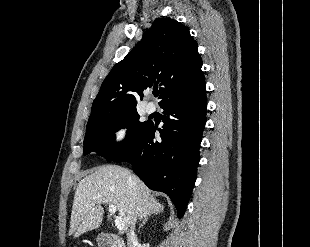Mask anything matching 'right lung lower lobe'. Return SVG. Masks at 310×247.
<instances>
[{
    "label": "right lung lower lobe",
    "mask_w": 310,
    "mask_h": 247,
    "mask_svg": "<svg viewBox=\"0 0 310 247\" xmlns=\"http://www.w3.org/2000/svg\"><path fill=\"white\" fill-rule=\"evenodd\" d=\"M164 109L159 139L153 123L142 131L133 145L115 162H129L133 171L152 190L166 193L178 218L184 215L199 163V146L206 123L205 82L176 94L161 105Z\"/></svg>",
    "instance_id": "right-lung-lower-lobe-1"
}]
</instances>
